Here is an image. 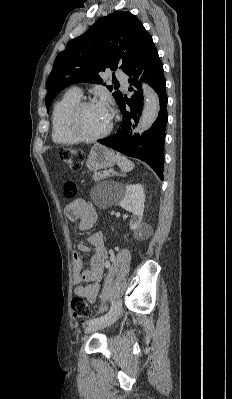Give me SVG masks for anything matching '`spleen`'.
I'll return each instance as SVG.
<instances>
[{
  "label": "spleen",
  "mask_w": 232,
  "mask_h": 399,
  "mask_svg": "<svg viewBox=\"0 0 232 399\" xmlns=\"http://www.w3.org/2000/svg\"><path fill=\"white\" fill-rule=\"evenodd\" d=\"M116 164L122 172H131V170L135 168L133 162H130V160H127L124 156H116Z\"/></svg>",
  "instance_id": "1"
}]
</instances>
